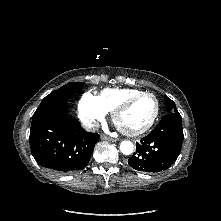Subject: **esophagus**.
Returning <instances> with one entry per match:
<instances>
[{
    "label": "esophagus",
    "mask_w": 221,
    "mask_h": 221,
    "mask_svg": "<svg viewBox=\"0 0 221 221\" xmlns=\"http://www.w3.org/2000/svg\"><path fill=\"white\" fill-rule=\"evenodd\" d=\"M101 139L102 140H109V141H112V142H117L118 141V139L112 138V137L104 135V134L101 135Z\"/></svg>",
    "instance_id": "obj_1"
}]
</instances>
